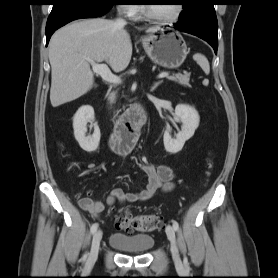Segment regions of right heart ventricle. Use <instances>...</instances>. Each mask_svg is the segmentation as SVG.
Wrapping results in <instances>:
<instances>
[{"label": "right heart ventricle", "instance_id": "right-heart-ventricle-1", "mask_svg": "<svg viewBox=\"0 0 278 278\" xmlns=\"http://www.w3.org/2000/svg\"><path fill=\"white\" fill-rule=\"evenodd\" d=\"M142 12V10H139V12L138 13H141Z\"/></svg>", "mask_w": 278, "mask_h": 278}]
</instances>
